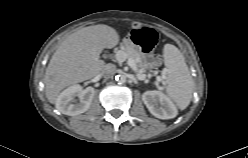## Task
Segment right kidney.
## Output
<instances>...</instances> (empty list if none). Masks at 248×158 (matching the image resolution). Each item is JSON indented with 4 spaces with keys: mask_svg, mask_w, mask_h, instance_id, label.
Wrapping results in <instances>:
<instances>
[{
    "mask_svg": "<svg viewBox=\"0 0 248 158\" xmlns=\"http://www.w3.org/2000/svg\"><path fill=\"white\" fill-rule=\"evenodd\" d=\"M94 94L93 87L83 89L79 84L72 85L60 93L56 101V108L65 115H79L90 108ZM76 97L79 98L78 101H75Z\"/></svg>",
    "mask_w": 248,
    "mask_h": 158,
    "instance_id": "ca27d5eb",
    "label": "right kidney"
}]
</instances>
